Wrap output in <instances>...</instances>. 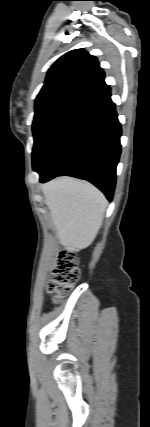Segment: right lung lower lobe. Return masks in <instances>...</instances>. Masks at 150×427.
Masks as SVG:
<instances>
[{"instance_id":"1","label":"right lung lower lobe","mask_w":150,"mask_h":427,"mask_svg":"<svg viewBox=\"0 0 150 427\" xmlns=\"http://www.w3.org/2000/svg\"><path fill=\"white\" fill-rule=\"evenodd\" d=\"M110 91L66 125L37 169L40 182L57 176L85 179L112 200L121 152V125Z\"/></svg>"}]
</instances>
